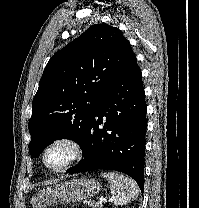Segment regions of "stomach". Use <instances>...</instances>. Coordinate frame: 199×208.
Here are the masks:
<instances>
[{
	"label": "stomach",
	"instance_id": "1",
	"mask_svg": "<svg viewBox=\"0 0 199 208\" xmlns=\"http://www.w3.org/2000/svg\"><path fill=\"white\" fill-rule=\"evenodd\" d=\"M101 185L95 179H73L40 190L30 198L33 208H47L55 203L83 201L95 196Z\"/></svg>",
	"mask_w": 199,
	"mask_h": 208
}]
</instances>
